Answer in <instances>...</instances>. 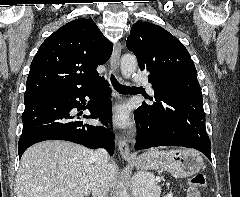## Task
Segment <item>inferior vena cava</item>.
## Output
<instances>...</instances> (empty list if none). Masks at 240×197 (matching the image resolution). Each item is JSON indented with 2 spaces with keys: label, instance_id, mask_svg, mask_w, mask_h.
I'll use <instances>...</instances> for the list:
<instances>
[{
  "label": "inferior vena cava",
  "instance_id": "1",
  "mask_svg": "<svg viewBox=\"0 0 240 197\" xmlns=\"http://www.w3.org/2000/svg\"><path fill=\"white\" fill-rule=\"evenodd\" d=\"M108 157V152L102 148L95 150L91 155L96 166V174L92 185L93 197H107L109 192L107 182Z\"/></svg>",
  "mask_w": 240,
  "mask_h": 197
}]
</instances>
